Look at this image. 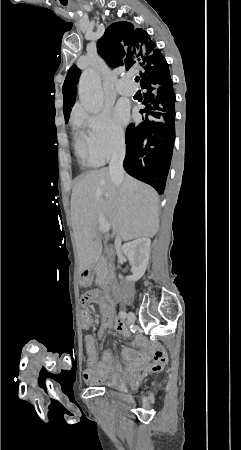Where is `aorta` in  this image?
I'll list each match as a JSON object with an SVG mask.
<instances>
[{
  "instance_id": "762f6f07",
  "label": "aorta",
  "mask_w": 241,
  "mask_h": 450,
  "mask_svg": "<svg viewBox=\"0 0 241 450\" xmlns=\"http://www.w3.org/2000/svg\"><path fill=\"white\" fill-rule=\"evenodd\" d=\"M79 99L90 113H98L103 107V93L99 74L95 69L84 70L79 80Z\"/></svg>"
}]
</instances>
